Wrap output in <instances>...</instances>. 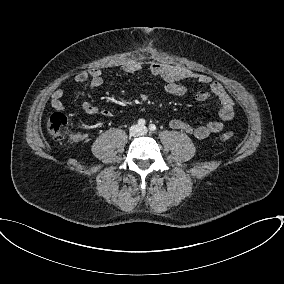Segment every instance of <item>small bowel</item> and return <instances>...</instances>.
I'll list each match as a JSON object with an SVG mask.
<instances>
[{
  "instance_id": "small-bowel-1",
  "label": "small bowel",
  "mask_w": 284,
  "mask_h": 284,
  "mask_svg": "<svg viewBox=\"0 0 284 284\" xmlns=\"http://www.w3.org/2000/svg\"><path fill=\"white\" fill-rule=\"evenodd\" d=\"M165 82V91L171 95H184L188 88L182 82L187 79H194L197 82L207 85L208 89L197 92L195 98L199 102L206 101L211 96H214L220 103L217 120H211L202 125L194 126L180 119H174L170 122V127L175 130L185 132L192 135L196 139L202 140L211 134L219 133L223 130L224 125L229 122L234 116V101L223 85L213 81L206 74L194 73L186 68L163 64L160 62H150L146 66L140 61H129L122 66L123 71L127 73H137L144 68ZM103 71L101 68H92L88 71H83L75 75L74 80L77 83L89 81L91 90H96L103 85ZM65 91L61 88L56 89L51 96V106L56 111L65 109L62 102ZM83 111L88 115L110 116L111 113L107 110L98 109L89 101L82 103Z\"/></svg>"
}]
</instances>
